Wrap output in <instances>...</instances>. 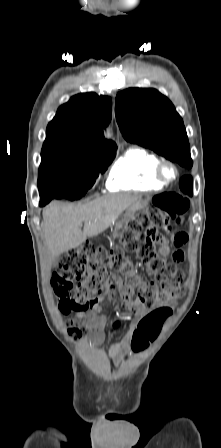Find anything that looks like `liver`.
Instances as JSON below:
<instances>
[{
	"instance_id": "1",
	"label": "liver",
	"mask_w": 221,
	"mask_h": 448,
	"mask_svg": "<svg viewBox=\"0 0 221 448\" xmlns=\"http://www.w3.org/2000/svg\"><path fill=\"white\" fill-rule=\"evenodd\" d=\"M140 205V197L131 194L105 195L77 206L49 205L43 211L42 223L49 258L52 260L81 245L88 237L101 234L123 211Z\"/></svg>"
}]
</instances>
